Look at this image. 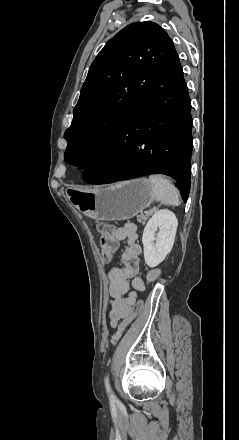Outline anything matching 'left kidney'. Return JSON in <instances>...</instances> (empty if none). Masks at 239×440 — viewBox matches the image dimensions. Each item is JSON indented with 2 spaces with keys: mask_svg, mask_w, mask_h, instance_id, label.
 Returning a JSON list of instances; mask_svg holds the SVG:
<instances>
[{
  "mask_svg": "<svg viewBox=\"0 0 239 440\" xmlns=\"http://www.w3.org/2000/svg\"><path fill=\"white\" fill-rule=\"evenodd\" d=\"M178 226V220L169 210H158L147 222L142 244L144 246V260L149 268H156L167 254H170ZM158 232V234H155Z\"/></svg>",
  "mask_w": 239,
  "mask_h": 440,
  "instance_id": "5707ae66",
  "label": "left kidney"
}]
</instances>
